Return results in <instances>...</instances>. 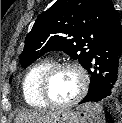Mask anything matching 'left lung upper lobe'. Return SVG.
<instances>
[{"label": "left lung upper lobe", "instance_id": "1", "mask_svg": "<svg viewBox=\"0 0 122 123\" xmlns=\"http://www.w3.org/2000/svg\"><path fill=\"white\" fill-rule=\"evenodd\" d=\"M117 17L108 0H57L36 20L20 55L23 68L61 50L85 68L102 34Z\"/></svg>", "mask_w": 122, "mask_h": 123}]
</instances>
